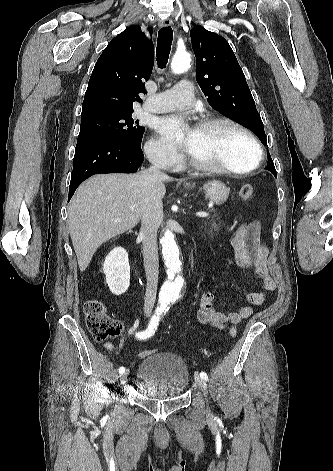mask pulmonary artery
Masks as SVG:
<instances>
[{
	"label": "pulmonary artery",
	"instance_id": "1",
	"mask_svg": "<svg viewBox=\"0 0 333 471\" xmlns=\"http://www.w3.org/2000/svg\"><path fill=\"white\" fill-rule=\"evenodd\" d=\"M193 101V85L182 80L173 88L149 98L143 105L149 112L161 113L189 106Z\"/></svg>",
	"mask_w": 333,
	"mask_h": 471
}]
</instances>
